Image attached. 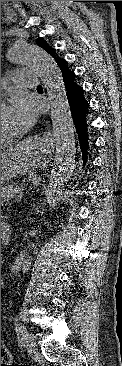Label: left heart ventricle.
<instances>
[{"instance_id":"1","label":"left heart ventricle","mask_w":122,"mask_h":366,"mask_svg":"<svg viewBox=\"0 0 122 366\" xmlns=\"http://www.w3.org/2000/svg\"><path fill=\"white\" fill-rule=\"evenodd\" d=\"M16 132V126L9 116L7 107H1V135L9 136Z\"/></svg>"}]
</instances>
